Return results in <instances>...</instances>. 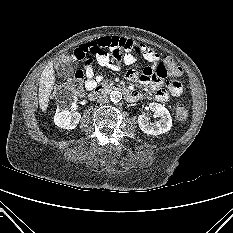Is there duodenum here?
<instances>
[{"mask_svg": "<svg viewBox=\"0 0 233 233\" xmlns=\"http://www.w3.org/2000/svg\"><path fill=\"white\" fill-rule=\"evenodd\" d=\"M111 91L121 92L129 100H132L134 98V93L120 84H105V85L95 86L90 91L89 96L90 98L95 99L98 96Z\"/></svg>", "mask_w": 233, "mask_h": 233, "instance_id": "410a0bca", "label": "duodenum"}]
</instances>
